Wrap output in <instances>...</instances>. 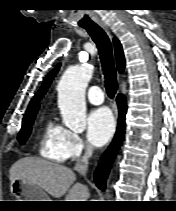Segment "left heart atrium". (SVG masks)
I'll return each instance as SVG.
<instances>
[{"instance_id":"obj_1","label":"left heart atrium","mask_w":176,"mask_h":211,"mask_svg":"<svg viewBox=\"0 0 176 211\" xmlns=\"http://www.w3.org/2000/svg\"><path fill=\"white\" fill-rule=\"evenodd\" d=\"M87 138L94 146H102L109 141L115 129V121L107 108L90 112L86 121Z\"/></svg>"}]
</instances>
